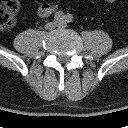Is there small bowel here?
I'll list each match as a JSON object with an SVG mask.
<instances>
[{"label": "small bowel", "instance_id": "obj_1", "mask_svg": "<svg viewBox=\"0 0 128 128\" xmlns=\"http://www.w3.org/2000/svg\"><path fill=\"white\" fill-rule=\"evenodd\" d=\"M58 8V2H50L42 4L37 9V15L40 18H46L54 13Z\"/></svg>", "mask_w": 128, "mask_h": 128}]
</instances>
